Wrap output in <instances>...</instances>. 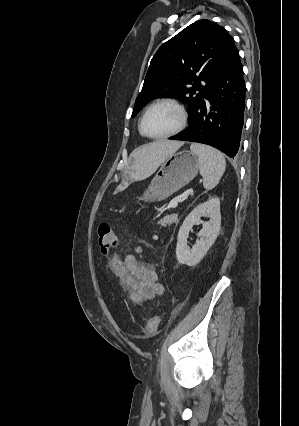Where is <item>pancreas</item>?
Instances as JSON below:
<instances>
[{"label": "pancreas", "instance_id": "obj_1", "mask_svg": "<svg viewBox=\"0 0 299 426\" xmlns=\"http://www.w3.org/2000/svg\"><path fill=\"white\" fill-rule=\"evenodd\" d=\"M175 222H177V218L175 216L171 215V216H166L163 219H161L158 222V224H160L163 227H166V226H170L171 224H173Z\"/></svg>", "mask_w": 299, "mask_h": 426}]
</instances>
